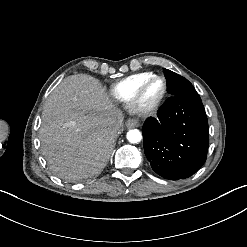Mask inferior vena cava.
<instances>
[{"label": "inferior vena cava", "instance_id": "obj_1", "mask_svg": "<svg viewBox=\"0 0 247 247\" xmlns=\"http://www.w3.org/2000/svg\"><path fill=\"white\" fill-rule=\"evenodd\" d=\"M121 125L119 124H115L112 128H111V132L113 133L114 137H116L118 135V133L121 131ZM108 129H110L108 127Z\"/></svg>", "mask_w": 247, "mask_h": 247}]
</instances>
